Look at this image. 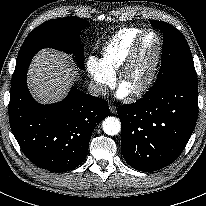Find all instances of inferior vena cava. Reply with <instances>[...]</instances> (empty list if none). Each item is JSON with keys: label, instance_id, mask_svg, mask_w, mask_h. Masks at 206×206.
I'll list each match as a JSON object with an SVG mask.
<instances>
[{"label": "inferior vena cava", "instance_id": "obj_1", "mask_svg": "<svg viewBox=\"0 0 206 206\" xmlns=\"http://www.w3.org/2000/svg\"><path fill=\"white\" fill-rule=\"evenodd\" d=\"M88 92L93 96H105L107 94V86L101 83H90Z\"/></svg>", "mask_w": 206, "mask_h": 206}]
</instances>
